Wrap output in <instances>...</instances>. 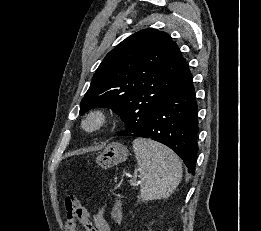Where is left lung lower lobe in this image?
I'll return each mask as SVG.
<instances>
[{
	"instance_id": "left-lung-lower-lobe-1",
	"label": "left lung lower lobe",
	"mask_w": 261,
	"mask_h": 231,
	"mask_svg": "<svg viewBox=\"0 0 261 231\" xmlns=\"http://www.w3.org/2000/svg\"><path fill=\"white\" fill-rule=\"evenodd\" d=\"M198 105L192 78L171 99L157 108L143 126L129 127L118 136L151 138L176 152L195 172L198 153Z\"/></svg>"
}]
</instances>
